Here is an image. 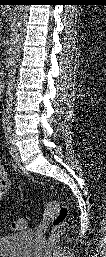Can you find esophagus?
<instances>
[{
	"instance_id": "1",
	"label": "esophagus",
	"mask_w": 106,
	"mask_h": 257,
	"mask_svg": "<svg viewBox=\"0 0 106 257\" xmlns=\"http://www.w3.org/2000/svg\"><path fill=\"white\" fill-rule=\"evenodd\" d=\"M5 9H7V10H12V7L7 6Z\"/></svg>"
}]
</instances>
